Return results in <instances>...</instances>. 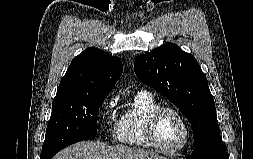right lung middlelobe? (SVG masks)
Instances as JSON below:
<instances>
[{"label": "right lung middle lobe", "mask_w": 253, "mask_h": 159, "mask_svg": "<svg viewBox=\"0 0 253 159\" xmlns=\"http://www.w3.org/2000/svg\"><path fill=\"white\" fill-rule=\"evenodd\" d=\"M107 95L54 98L41 159H50L62 148L97 133V111Z\"/></svg>", "instance_id": "1"}]
</instances>
